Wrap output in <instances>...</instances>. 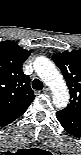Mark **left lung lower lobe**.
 <instances>
[{
	"label": "left lung lower lobe",
	"mask_w": 81,
	"mask_h": 155,
	"mask_svg": "<svg viewBox=\"0 0 81 155\" xmlns=\"http://www.w3.org/2000/svg\"><path fill=\"white\" fill-rule=\"evenodd\" d=\"M57 118L63 128L72 135H78L81 129V118L71 115L65 110L57 112Z\"/></svg>",
	"instance_id": "left-lung-lower-lobe-1"
}]
</instances>
